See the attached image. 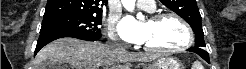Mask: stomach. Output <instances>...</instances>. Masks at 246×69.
Listing matches in <instances>:
<instances>
[{
  "label": "stomach",
  "mask_w": 246,
  "mask_h": 69,
  "mask_svg": "<svg viewBox=\"0 0 246 69\" xmlns=\"http://www.w3.org/2000/svg\"><path fill=\"white\" fill-rule=\"evenodd\" d=\"M144 69H184V67L173 57H161Z\"/></svg>",
  "instance_id": "0dacf381"
}]
</instances>
